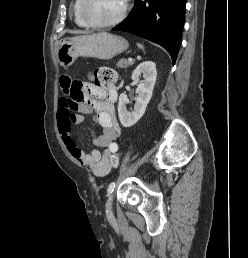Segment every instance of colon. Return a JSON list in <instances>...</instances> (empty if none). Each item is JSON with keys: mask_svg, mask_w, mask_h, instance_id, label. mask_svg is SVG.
Listing matches in <instances>:
<instances>
[{"mask_svg": "<svg viewBox=\"0 0 248 258\" xmlns=\"http://www.w3.org/2000/svg\"><path fill=\"white\" fill-rule=\"evenodd\" d=\"M91 79L99 86L109 87L112 86L116 79L117 74L113 69L110 68H101L96 70L94 73L90 75ZM85 85L78 82L77 89L79 91V95L75 96L76 99H80L83 93ZM120 156L114 155L111 159L112 167H116L119 163Z\"/></svg>", "mask_w": 248, "mask_h": 258, "instance_id": "colon-1", "label": "colon"}]
</instances>
